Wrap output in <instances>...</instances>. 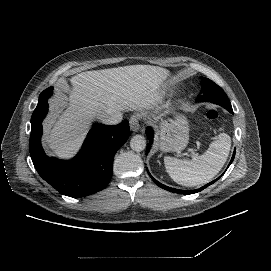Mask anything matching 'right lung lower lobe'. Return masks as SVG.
<instances>
[{"instance_id":"98d812e1","label":"right lung lower lobe","mask_w":271,"mask_h":271,"mask_svg":"<svg viewBox=\"0 0 271 271\" xmlns=\"http://www.w3.org/2000/svg\"><path fill=\"white\" fill-rule=\"evenodd\" d=\"M52 87L44 90L31 117L30 155L39 175L63 195L78 198L104 189L113 172L117 150L127 141L130 128L126 120L118 125L98 124L91 128L79 154L71 161L49 158L41 146L42 120Z\"/></svg>"}]
</instances>
